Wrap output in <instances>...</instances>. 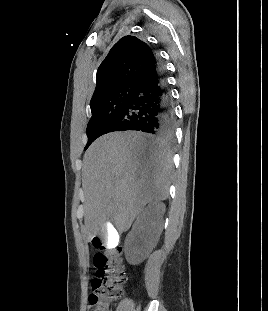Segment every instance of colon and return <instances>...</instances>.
Segmentation results:
<instances>
[{
    "instance_id": "obj_1",
    "label": "colon",
    "mask_w": 268,
    "mask_h": 311,
    "mask_svg": "<svg viewBox=\"0 0 268 311\" xmlns=\"http://www.w3.org/2000/svg\"><path fill=\"white\" fill-rule=\"evenodd\" d=\"M101 242L98 238L93 239L96 248L93 262L97 277L92 282L90 303L94 311H109L110 302L121 294L127 277L121 258L122 249H105Z\"/></svg>"
}]
</instances>
